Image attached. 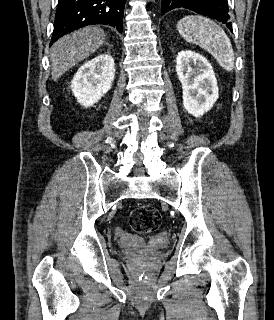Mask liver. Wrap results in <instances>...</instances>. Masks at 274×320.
Here are the masks:
<instances>
[{
    "label": "liver",
    "mask_w": 274,
    "mask_h": 320,
    "mask_svg": "<svg viewBox=\"0 0 274 320\" xmlns=\"http://www.w3.org/2000/svg\"><path fill=\"white\" fill-rule=\"evenodd\" d=\"M105 42V32L99 26H86L53 44L50 52L52 80L56 82L72 66L97 52Z\"/></svg>",
    "instance_id": "liver-1"
}]
</instances>
